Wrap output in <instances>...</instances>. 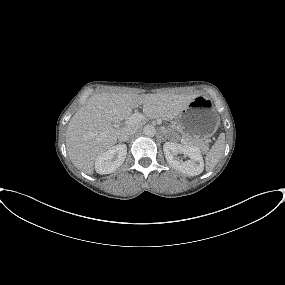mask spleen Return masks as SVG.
<instances>
[{"label": "spleen", "mask_w": 285, "mask_h": 285, "mask_svg": "<svg viewBox=\"0 0 285 285\" xmlns=\"http://www.w3.org/2000/svg\"><path fill=\"white\" fill-rule=\"evenodd\" d=\"M225 148V134L221 133L216 143L212 146L205 157L206 170H212L220 161Z\"/></svg>", "instance_id": "3e777b00"}]
</instances>
